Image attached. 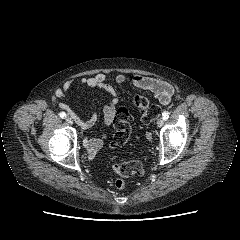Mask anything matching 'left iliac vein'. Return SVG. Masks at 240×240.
Instances as JSON below:
<instances>
[{"label": "left iliac vein", "mask_w": 240, "mask_h": 240, "mask_svg": "<svg viewBox=\"0 0 240 240\" xmlns=\"http://www.w3.org/2000/svg\"><path fill=\"white\" fill-rule=\"evenodd\" d=\"M163 124H164V119L160 117V118L157 120V126L160 128V127L163 126Z\"/></svg>", "instance_id": "1"}]
</instances>
